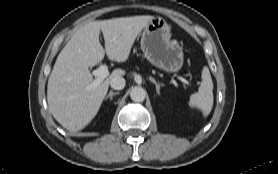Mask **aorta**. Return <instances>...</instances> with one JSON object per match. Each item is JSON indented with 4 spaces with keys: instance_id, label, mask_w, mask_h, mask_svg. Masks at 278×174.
I'll return each mask as SVG.
<instances>
[{
    "instance_id": "aorta-1",
    "label": "aorta",
    "mask_w": 278,
    "mask_h": 174,
    "mask_svg": "<svg viewBox=\"0 0 278 174\" xmlns=\"http://www.w3.org/2000/svg\"><path fill=\"white\" fill-rule=\"evenodd\" d=\"M146 97V91L142 87L136 86L130 91V98L134 102H142Z\"/></svg>"
}]
</instances>
